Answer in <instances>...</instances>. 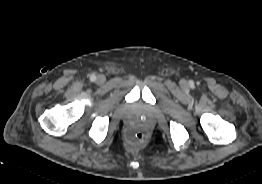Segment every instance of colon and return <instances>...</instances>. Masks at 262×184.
<instances>
[{
    "mask_svg": "<svg viewBox=\"0 0 262 184\" xmlns=\"http://www.w3.org/2000/svg\"><path fill=\"white\" fill-rule=\"evenodd\" d=\"M129 142L138 146L146 141V134L140 128H133L129 131Z\"/></svg>",
    "mask_w": 262,
    "mask_h": 184,
    "instance_id": "obj_1",
    "label": "colon"
}]
</instances>
